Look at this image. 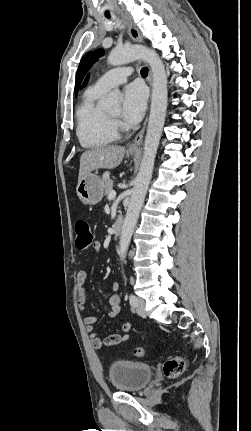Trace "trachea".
I'll return each instance as SVG.
<instances>
[{
    "label": "trachea",
    "instance_id": "1",
    "mask_svg": "<svg viewBox=\"0 0 251 431\" xmlns=\"http://www.w3.org/2000/svg\"><path fill=\"white\" fill-rule=\"evenodd\" d=\"M106 17H110L109 16V14H106ZM147 74H148V68L147 67H143L142 69H141V75L142 76H147Z\"/></svg>",
    "mask_w": 251,
    "mask_h": 431
}]
</instances>
